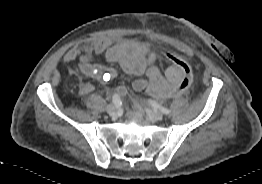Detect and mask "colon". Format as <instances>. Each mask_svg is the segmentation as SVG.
Here are the masks:
<instances>
[{
	"label": "colon",
	"mask_w": 262,
	"mask_h": 184,
	"mask_svg": "<svg viewBox=\"0 0 262 184\" xmlns=\"http://www.w3.org/2000/svg\"><path fill=\"white\" fill-rule=\"evenodd\" d=\"M166 55L168 59L179 65L183 72L181 81L169 92V97L176 98L185 94L191 86L193 82V70L190 63L180 55L172 52H168ZM117 90L121 95L126 94V88L124 86H119Z\"/></svg>",
	"instance_id": "obj_1"
}]
</instances>
